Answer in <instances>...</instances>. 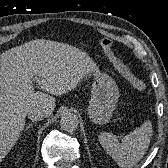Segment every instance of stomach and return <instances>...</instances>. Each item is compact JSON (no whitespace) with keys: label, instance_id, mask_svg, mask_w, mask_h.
Segmentation results:
<instances>
[{"label":"stomach","instance_id":"stomach-1","mask_svg":"<svg viewBox=\"0 0 168 168\" xmlns=\"http://www.w3.org/2000/svg\"><path fill=\"white\" fill-rule=\"evenodd\" d=\"M119 98V91L114 80L106 75L93 73L91 100L87 113L96 124L109 122Z\"/></svg>","mask_w":168,"mask_h":168}]
</instances>
